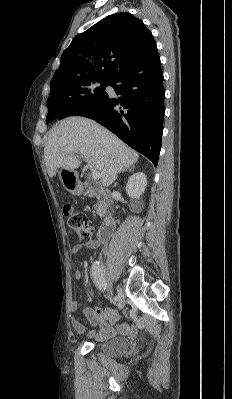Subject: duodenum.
<instances>
[{"mask_svg":"<svg viewBox=\"0 0 232 399\" xmlns=\"http://www.w3.org/2000/svg\"><path fill=\"white\" fill-rule=\"evenodd\" d=\"M97 190L92 187H87L85 190L86 195L94 196L97 194ZM116 227V220L113 217H109L105 220L103 225L100 227L97 233V240L100 243H106L111 238Z\"/></svg>","mask_w":232,"mask_h":399,"instance_id":"obj_1","label":"duodenum"}]
</instances>
